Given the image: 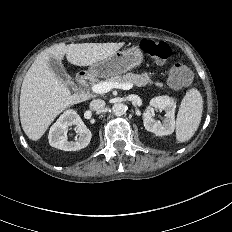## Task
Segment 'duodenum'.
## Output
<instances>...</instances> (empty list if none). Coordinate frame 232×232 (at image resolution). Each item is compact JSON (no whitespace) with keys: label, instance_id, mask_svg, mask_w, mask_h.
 Masks as SVG:
<instances>
[{"label":"duodenum","instance_id":"obj_1","mask_svg":"<svg viewBox=\"0 0 232 232\" xmlns=\"http://www.w3.org/2000/svg\"><path fill=\"white\" fill-rule=\"evenodd\" d=\"M88 79V73L87 72H80L77 76H76V81L80 84H83L87 81Z\"/></svg>","mask_w":232,"mask_h":232}]
</instances>
